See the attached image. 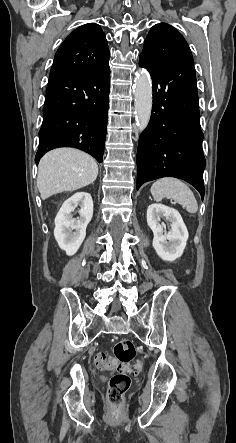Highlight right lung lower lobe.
I'll return each instance as SVG.
<instances>
[{
  "label": "right lung lower lobe",
  "instance_id": "obj_1",
  "mask_svg": "<svg viewBox=\"0 0 236 443\" xmlns=\"http://www.w3.org/2000/svg\"><path fill=\"white\" fill-rule=\"evenodd\" d=\"M110 69L50 74L36 163L48 151L74 147L99 163L105 147Z\"/></svg>",
  "mask_w": 236,
  "mask_h": 443
}]
</instances>
